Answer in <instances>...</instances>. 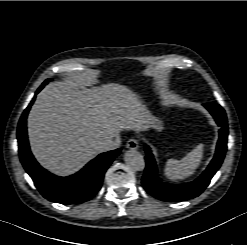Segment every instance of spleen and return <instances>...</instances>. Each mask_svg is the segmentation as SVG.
Returning a JSON list of instances; mask_svg holds the SVG:
<instances>
[{
    "label": "spleen",
    "mask_w": 247,
    "mask_h": 245,
    "mask_svg": "<svg viewBox=\"0 0 247 245\" xmlns=\"http://www.w3.org/2000/svg\"><path fill=\"white\" fill-rule=\"evenodd\" d=\"M198 150L200 151L192 153L187 159L184 160V162L180 164L167 163V176L171 179H181L182 175L192 174L201 161L200 159L202 157L203 148L200 146Z\"/></svg>",
    "instance_id": "3e777b00"
}]
</instances>
